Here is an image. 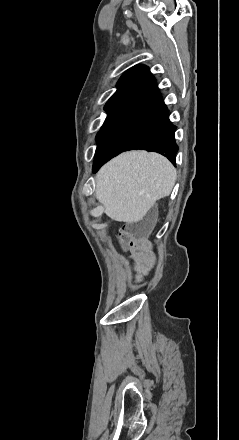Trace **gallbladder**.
<instances>
[{
    "instance_id": "gallbladder-1",
    "label": "gallbladder",
    "mask_w": 239,
    "mask_h": 440,
    "mask_svg": "<svg viewBox=\"0 0 239 440\" xmlns=\"http://www.w3.org/2000/svg\"><path fill=\"white\" fill-rule=\"evenodd\" d=\"M152 212H153V210H150V212H148V214H147V216L145 218V222H146L149 230H151V228H153V226L155 224L154 218H151Z\"/></svg>"
}]
</instances>
